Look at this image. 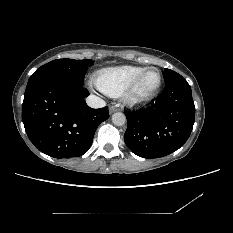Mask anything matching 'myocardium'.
Returning <instances> with one entry per match:
<instances>
[{
    "label": "myocardium",
    "mask_w": 233,
    "mask_h": 233,
    "mask_svg": "<svg viewBox=\"0 0 233 233\" xmlns=\"http://www.w3.org/2000/svg\"><path fill=\"white\" fill-rule=\"evenodd\" d=\"M151 70H155L158 73L159 79L157 86L149 94L140 96L137 94V88L143 77L146 75V73ZM161 83H162V76L160 71L155 67H148L145 70H143L140 74H138L125 89V91L122 94L123 101L130 106L148 102L156 96V94L158 93L161 87Z\"/></svg>",
    "instance_id": "1"
}]
</instances>
